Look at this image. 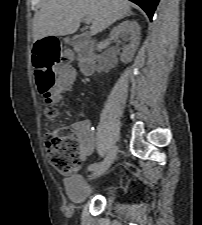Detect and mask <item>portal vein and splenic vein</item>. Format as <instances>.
Masks as SVG:
<instances>
[{
    "instance_id": "obj_1",
    "label": "portal vein and splenic vein",
    "mask_w": 202,
    "mask_h": 225,
    "mask_svg": "<svg viewBox=\"0 0 202 225\" xmlns=\"http://www.w3.org/2000/svg\"><path fill=\"white\" fill-rule=\"evenodd\" d=\"M84 20H85L86 24H90L91 23V18H89V17H86Z\"/></svg>"
}]
</instances>
